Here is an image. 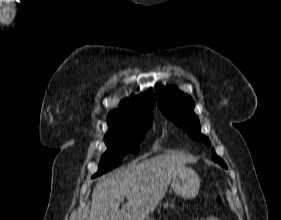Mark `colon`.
<instances>
[{
	"label": "colon",
	"mask_w": 281,
	"mask_h": 220,
	"mask_svg": "<svg viewBox=\"0 0 281 220\" xmlns=\"http://www.w3.org/2000/svg\"><path fill=\"white\" fill-rule=\"evenodd\" d=\"M217 200H218V201H220V200H221L220 196H218V197H217Z\"/></svg>",
	"instance_id": "obj_1"
}]
</instances>
